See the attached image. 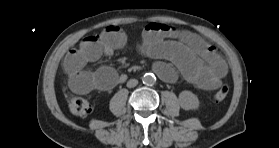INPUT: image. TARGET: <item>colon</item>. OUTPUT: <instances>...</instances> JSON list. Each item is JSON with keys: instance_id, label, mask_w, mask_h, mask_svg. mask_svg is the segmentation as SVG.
<instances>
[{"instance_id": "1", "label": "colon", "mask_w": 279, "mask_h": 148, "mask_svg": "<svg viewBox=\"0 0 279 148\" xmlns=\"http://www.w3.org/2000/svg\"><path fill=\"white\" fill-rule=\"evenodd\" d=\"M228 94V87L226 85L221 86L212 94V100L215 102L223 101ZM68 107L72 114L84 117L91 111L90 103L82 96L70 94L68 97Z\"/></svg>"}]
</instances>
